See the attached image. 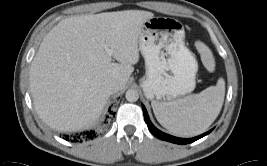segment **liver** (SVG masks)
I'll use <instances>...</instances> for the list:
<instances>
[{"mask_svg":"<svg viewBox=\"0 0 267 166\" xmlns=\"http://www.w3.org/2000/svg\"><path fill=\"white\" fill-rule=\"evenodd\" d=\"M153 17L149 11L124 10L73 16L54 26L30 69V90L40 118L59 131L93 124L110 96L106 84L115 82L119 90L126 86L139 61L141 29Z\"/></svg>","mask_w":267,"mask_h":166,"instance_id":"6515ba94","label":"liver"}]
</instances>
